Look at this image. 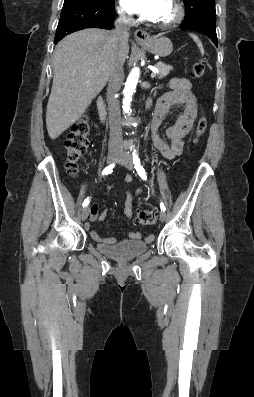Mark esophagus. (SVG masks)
<instances>
[{
  "label": "esophagus",
  "instance_id": "esophagus-1",
  "mask_svg": "<svg viewBox=\"0 0 254 397\" xmlns=\"http://www.w3.org/2000/svg\"><path fill=\"white\" fill-rule=\"evenodd\" d=\"M134 36L138 43H147L150 41V34L143 29H137Z\"/></svg>",
  "mask_w": 254,
  "mask_h": 397
}]
</instances>
